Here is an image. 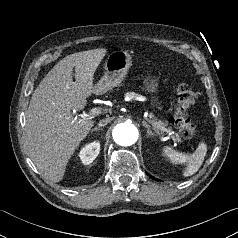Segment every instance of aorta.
Returning a JSON list of instances; mask_svg holds the SVG:
<instances>
[{"label":"aorta","instance_id":"1","mask_svg":"<svg viewBox=\"0 0 238 238\" xmlns=\"http://www.w3.org/2000/svg\"><path fill=\"white\" fill-rule=\"evenodd\" d=\"M113 139L121 146H131L138 139L137 128L130 123H120L113 129Z\"/></svg>","mask_w":238,"mask_h":238}]
</instances>
